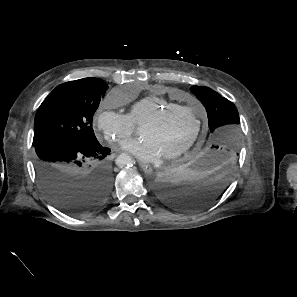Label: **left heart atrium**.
<instances>
[{
	"label": "left heart atrium",
	"mask_w": 297,
	"mask_h": 297,
	"mask_svg": "<svg viewBox=\"0 0 297 297\" xmlns=\"http://www.w3.org/2000/svg\"><path fill=\"white\" fill-rule=\"evenodd\" d=\"M123 149L142 162H155L162 157L156 144L145 137L126 142Z\"/></svg>",
	"instance_id": "1"
}]
</instances>
